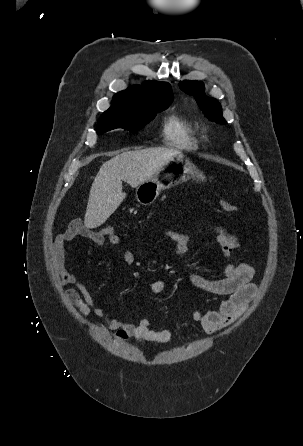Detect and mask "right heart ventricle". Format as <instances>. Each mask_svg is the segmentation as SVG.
Returning <instances> with one entry per match:
<instances>
[{
  "mask_svg": "<svg viewBox=\"0 0 303 446\" xmlns=\"http://www.w3.org/2000/svg\"><path fill=\"white\" fill-rule=\"evenodd\" d=\"M162 138L165 145L181 150H194L199 146L196 126L178 113H171L165 118Z\"/></svg>",
  "mask_w": 303,
  "mask_h": 446,
  "instance_id": "obj_1",
  "label": "right heart ventricle"
}]
</instances>
